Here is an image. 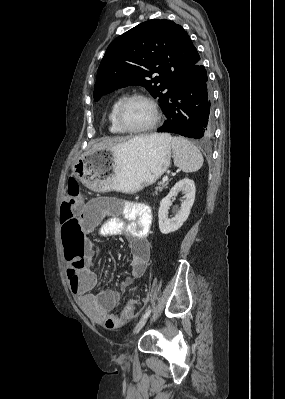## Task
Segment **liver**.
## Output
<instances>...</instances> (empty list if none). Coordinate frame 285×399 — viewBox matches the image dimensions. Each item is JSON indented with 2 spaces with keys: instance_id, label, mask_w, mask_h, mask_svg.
<instances>
[{
  "instance_id": "6515ba94",
  "label": "liver",
  "mask_w": 285,
  "mask_h": 399,
  "mask_svg": "<svg viewBox=\"0 0 285 399\" xmlns=\"http://www.w3.org/2000/svg\"><path fill=\"white\" fill-rule=\"evenodd\" d=\"M158 134H152L148 136H141V137H134V138H129V137H114V138H108V139H102L100 142L94 144L91 148V151L97 150V149H107V150H112L118 147L121 144H124L128 141H131L133 139H140V138H156Z\"/></svg>"
}]
</instances>
